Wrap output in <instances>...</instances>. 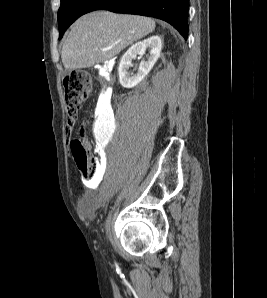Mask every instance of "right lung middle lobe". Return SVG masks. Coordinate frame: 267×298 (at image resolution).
<instances>
[{
  "mask_svg": "<svg viewBox=\"0 0 267 298\" xmlns=\"http://www.w3.org/2000/svg\"><path fill=\"white\" fill-rule=\"evenodd\" d=\"M98 0H61L58 11L59 39L67 28L81 15L90 12Z\"/></svg>",
  "mask_w": 267,
  "mask_h": 298,
  "instance_id": "obj_1",
  "label": "right lung middle lobe"
}]
</instances>
